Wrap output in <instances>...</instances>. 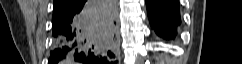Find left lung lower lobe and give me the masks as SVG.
<instances>
[{"label":"left lung lower lobe","instance_id":"obj_1","mask_svg":"<svg viewBox=\"0 0 242 64\" xmlns=\"http://www.w3.org/2000/svg\"><path fill=\"white\" fill-rule=\"evenodd\" d=\"M150 24L156 34L174 39L181 24L179 0H146Z\"/></svg>","mask_w":242,"mask_h":64}]
</instances>
